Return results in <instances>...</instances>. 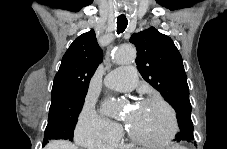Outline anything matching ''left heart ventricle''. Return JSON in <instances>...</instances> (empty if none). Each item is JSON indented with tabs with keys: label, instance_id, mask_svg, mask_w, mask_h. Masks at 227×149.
Instances as JSON below:
<instances>
[{
	"label": "left heart ventricle",
	"instance_id": "obj_1",
	"mask_svg": "<svg viewBox=\"0 0 227 149\" xmlns=\"http://www.w3.org/2000/svg\"><path fill=\"white\" fill-rule=\"evenodd\" d=\"M130 128L139 136L159 140L171 131V117L168 110L158 103H143L124 116Z\"/></svg>",
	"mask_w": 227,
	"mask_h": 149
}]
</instances>
